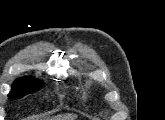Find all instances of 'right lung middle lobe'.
Here are the masks:
<instances>
[{"instance_id": "1", "label": "right lung middle lobe", "mask_w": 165, "mask_h": 120, "mask_svg": "<svg viewBox=\"0 0 165 120\" xmlns=\"http://www.w3.org/2000/svg\"><path fill=\"white\" fill-rule=\"evenodd\" d=\"M43 83L32 77H24L15 80L12 85V90L9 93V98L15 100L24 97L27 94H32L41 89Z\"/></svg>"}]
</instances>
